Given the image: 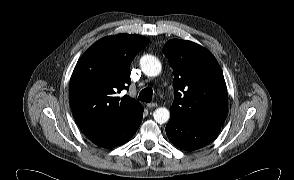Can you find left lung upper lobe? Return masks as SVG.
Returning <instances> with one entry per match:
<instances>
[{
    "label": "left lung upper lobe",
    "instance_id": "obj_1",
    "mask_svg": "<svg viewBox=\"0 0 294 180\" xmlns=\"http://www.w3.org/2000/svg\"><path fill=\"white\" fill-rule=\"evenodd\" d=\"M163 53L174 73L171 115L189 124H223L228 96L215 57L196 43L178 39L168 41Z\"/></svg>",
    "mask_w": 294,
    "mask_h": 180
}]
</instances>
